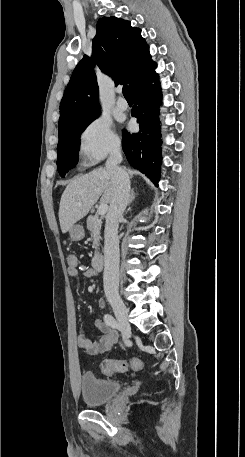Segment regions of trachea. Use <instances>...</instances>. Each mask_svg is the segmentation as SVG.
<instances>
[{
	"mask_svg": "<svg viewBox=\"0 0 245 457\" xmlns=\"http://www.w3.org/2000/svg\"><path fill=\"white\" fill-rule=\"evenodd\" d=\"M123 95H124V97H130L131 98V94L129 92L128 85H123Z\"/></svg>",
	"mask_w": 245,
	"mask_h": 457,
	"instance_id": "1",
	"label": "trachea"
}]
</instances>
